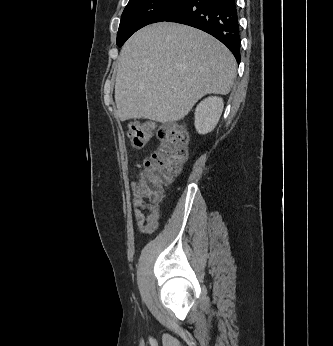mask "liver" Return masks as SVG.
I'll list each match as a JSON object with an SVG mask.
<instances>
[{"instance_id":"6515ba94","label":"liver","mask_w":333,"mask_h":346,"mask_svg":"<svg viewBox=\"0 0 333 346\" xmlns=\"http://www.w3.org/2000/svg\"><path fill=\"white\" fill-rule=\"evenodd\" d=\"M235 75L233 54L211 35L176 23L147 26L120 51L117 116L121 121H178L204 95L228 94Z\"/></svg>"}]
</instances>
